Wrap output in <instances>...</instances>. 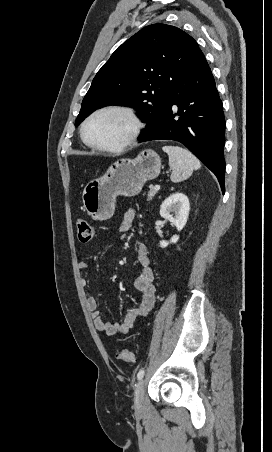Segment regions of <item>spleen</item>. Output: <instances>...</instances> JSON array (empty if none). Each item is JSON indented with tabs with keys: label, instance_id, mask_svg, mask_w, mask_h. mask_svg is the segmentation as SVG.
Segmentation results:
<instances>
[{
	"label": "spleen",
	"instance_id": "spleen-1",
	"mask_svg": "<svg viewBox=\"0 0 272 452\" xmlns=\"http://www.w3.org/2000/svg\"><path fill=\"white\" fill-rule=\"evenodd\" d=\"M162 150L169 156L172 169L171 181L178 183L188 179L194 170L201 167L200 161L187 149L179 146H163Z\"/></svg>",
	"mask_w": 272,
	"mask_h": 452
}]
</instances>
